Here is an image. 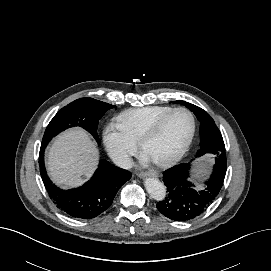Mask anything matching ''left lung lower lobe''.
<instances>
[{"label":"left lung lower lobe","instance_id":"left-lung-lower-lobe-1","mask_svg":"<svg viewBox=\"0 0 271 271\" xmlns=\"http://www.w3.org/2000/svg\"><path fill=\"white\" fill-rule=\"evenodd\" d=\"M189 170V163L179 164L163 175L169 194L157 203V209L174 221H188L201 215L218 196L226 174V170L214 168L211 177L205 181V189L196 191L187 180Z\"/></svg>","mask_w":271,"mask_h":271}]
</instances>
